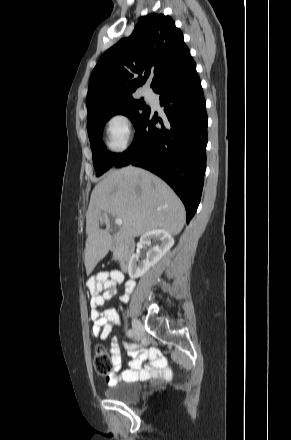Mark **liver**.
Here are the masks:
<instances>
[{"mask_svg": "<svg viewBox=\"0 0 291 440\" xmlns=\"http://www.w3.org/2000/svg\"><path fill=\"white\" fill-rule=\"evenodd\" d=\"M109 215L123 221L114 236L118 242L155 229L177 235L186 217L179 197L156 175L133 166L109 172L94 187L86 213L87 275L105 257L112 243ZM99 221L105 223L106 230L99 228Z\"/></svg>", "mask_w": 291, "mask_h": 440, "instance_id": "obj_1", "label": "liver"}]
</instances>
